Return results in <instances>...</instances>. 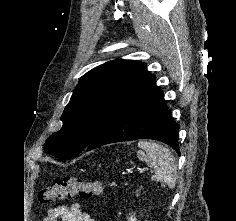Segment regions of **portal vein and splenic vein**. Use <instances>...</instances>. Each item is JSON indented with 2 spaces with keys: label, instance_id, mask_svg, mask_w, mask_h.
Returning <instances> with one entry per match:
<instances>
[{
  "label": "portal vein and splenic vein",
  "instance_id": "obj_1",
  "mask_svg": "<svg viewBox=\"0 0 236 221\" xmlns=\"http://www.w3.org/2000/svg\"><path fill=\"white\" fill-rule=\"evenodd\" d=\"M145 171V168H141L140 169V172L142 173V172H144Z\"/></svg>",
  "mask_w": 236,
  "mask_h": 221
}]
</instances>
